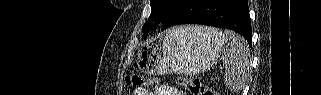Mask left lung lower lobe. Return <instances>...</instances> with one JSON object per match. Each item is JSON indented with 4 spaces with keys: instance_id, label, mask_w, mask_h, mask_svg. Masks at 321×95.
Returning <instances> with one entry per match:
<instances>
[{
    "instance_id": "1",
    "label": "left lung lower lobe",
    "mask_w": 321,
    "mask_h": 95,
    "mask_svg": "<svg viewBox=\"0 0 321 95\" xmlns=\"http://www.w3.org/2000/svg\"><path fill=\"white\" fill-rule=\"evenodd\" d=\"M179 24H203L236 31L251 46L252 31L247 0H179L162 31Z\"/></svg>"
}]
</instances>
